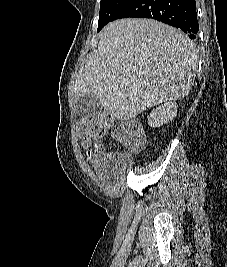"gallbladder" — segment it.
Listing matches in <instances>:
<instances>
[{"mask_svg":"<svg viewBox=\"0 0 227 267\" xmlns=\"http://www.w3.org/2000/svg\"><path fill=\"white\" fill-rule=\"evenodd\" d=\"M100 103L93 93H88L76 100V111L80 116L89 117L95 114Z\"/></svg>","mask_w":227,"mask_h":267,"instance_id":"gallbladder-1","label":"gallbladder"}]
</instances>
